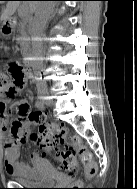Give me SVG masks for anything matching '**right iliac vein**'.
I'll return each instance as SVG.
<instances>
[{
  "mask_svg": "<svg viewBox=\"0 0 137 189\" xmlns=\"http://www.w3.org/2000/svg\"><path fill=\"white\" fill-rule=\"evenodd\" d=\"M40 98L43 99L48 106L53 105V100L49 96L47 90H43V91L40 92Z\"/></svg>",
  "mask_w": 137,
  "mask_h": 189,
  "instance_id": "63e3f726",
  "label": "right iliac vein"
}]
</instances>
